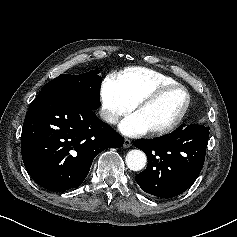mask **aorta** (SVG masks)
<instances>
[{
    "instance_id": "1",
    "label": "aorta",
    "mask_w": 237,
    "mask_h": 237,
    "mask_svg": "<svg viewBox=\"0 0 237 237\" xmlns=\"http://www.w3.org/2000/svg\"><path fill=\"white\" fill-rule=\"evenodd\" d=\"M125 162L130 170L140 171L145 167L147 158L141 150L136 149L127 153Z\"/></svg>"
}]
</instances>
